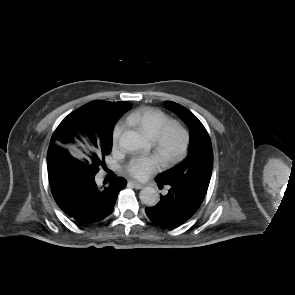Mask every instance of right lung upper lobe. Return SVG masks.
Here are the masks:
<instances>
[{"label":"right lung upper lobe","instance_id":"obj_1","mask_svg":"<svg viewBox=\"0 0 295 295\" xmlns=\"http://www.w3.org/2000/svg\"><path fill=\"white\" fill-rule=\"evenodd\" d=\"M129 107L130 103L128 102H106L101 100L91 101L83 105L76 111L69 114L57 127L52 135L47 156H49L52 151L56 149L74 162L83 163V161L73 156L66 147V144L73 143L74 137H76H72L73 141H66L67 134L72 130L74 116L81 114L88 123V129L86 131L77 132V136L79 138L81 137L86 140H90L91 137H95L101 139L106 126L116 123L120 116L126 112Z\"/></svg>","mask_w":295,"mask_h":295}]
</instances>
